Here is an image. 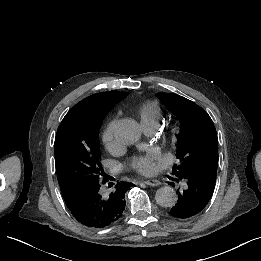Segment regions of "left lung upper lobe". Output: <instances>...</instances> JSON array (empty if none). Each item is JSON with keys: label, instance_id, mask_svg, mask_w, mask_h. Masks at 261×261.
<instances>
[{"label": "left lung upper lobe", "instance_id": "obj_1", "mask_svg": "<svg viewBox=\"0 0 261 261\" xmlns=\"http://www.w3.org/2000/svg\"><path fill=\"white\" fill-rule=\"evenodd\" d=\"M157 97L180 119L176 157L173 173L180 177L195 173L216 181L218 166V138L208 113L194 102L172 93H158Z\"/></svg>", "mask_w": 261, "mask_h": 261}]
</instances>
